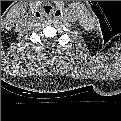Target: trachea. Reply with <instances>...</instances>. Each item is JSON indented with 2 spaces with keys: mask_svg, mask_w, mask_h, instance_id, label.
Here are the masks:
<instances>
[{
  "mask_svg": "<svg viewBox=\"0 0 121 121\" xmlns=\"http://www.w3.org/2000/svg\"><path fill=\"white\" fill-rule=\"evenodd\" d=\"M41 12L47 17H51L54 13V9L49 4H43L41 7Z\"/></svg>",
  "mask_w": 121,
  "mask_h": 121,
  "instance_id": "trachea-1",
  "label": "trachea"
}]
</instances>
